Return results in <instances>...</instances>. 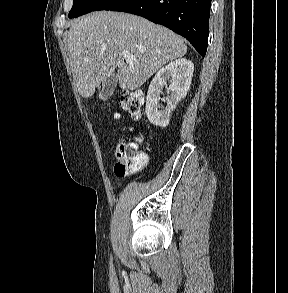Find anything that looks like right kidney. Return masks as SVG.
<instances>
[{"label":"right kidney","mask_w":288,"mask_h":293,"mask_svg":"<svg viewBox=\"0 0 288 293\" xmlns=\"http://www.w3.org/2000/svg\"><path fill=\"white\" fill-rule=\"evenodd\" d=\"M194 65L191 61L181 58L161 68L150 83L146 98V116L149 121L159 127L169 124L172 111L178 102L183 99L189 90ZM170 81V96L163 101L166 106L159 105L160 94L167 81Z\"/></svg>","instance_id":"obj_1"}]
</instances>
